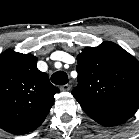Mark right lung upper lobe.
Wrapping results in <instances>:
<instances>
[{
	"mask_svg": "<svg viewBox=\"0 0 139 139\" xmlns=\"http://www.w3.org/2000/svg\"><path fill=\"white\" fill-rule=\"evenodd\" d=\"M59 89L37 69V58L8 49L0 54V128L26 134L44 121Z\"/></svg>",
	"mask_w": 139,
	"mask_h": 139,
	"instance_id": "right-lung-upper-lobe-1",
	"label": "right lung upper lobe"
}]
</instances>
